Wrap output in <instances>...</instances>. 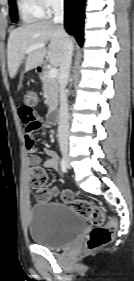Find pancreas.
<instances>
[{
    "label": "pancreas",
    "instance_id": "obj_1",
    "mask_svg": "<svg viewBox=\"0 0 134 281\" xmlns=\"http://www.w3.org/2000/svg\"><path fill=\"white\" fill-rule=\"evenodd\" d=\"M42 87L45 96V102L49 107V112L56 109L58 104V93L59 87L57 80L55 78H51L48 75V72H44L41 76Z\"/></svg>",
    "mask_w": 134,
    "mask_h": 281
}]
</instances>
